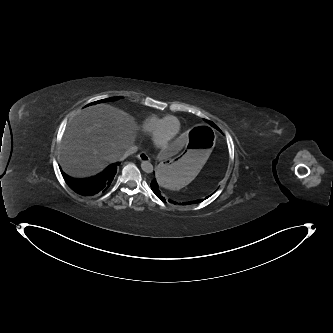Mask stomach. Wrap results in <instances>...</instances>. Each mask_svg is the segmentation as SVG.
Segmentation results:
<instances>
[{
	"label": "stomach",
	"instance_id": "0dacf381",
	"mask_svg": "<svg viewBox=\"0 0 333 333\" xmlns=\"http://www.w3.org/2000/svg\"><path fill=\"white\" fill-rule=\"evenodd\" d=\"M215 144L214 129L208 125H197L186 153L176 160L160 162L154 166V183L165 190H178L186 186L196 178Z\"/></svg>",
	"mask_w": 333,
	"mask_h": 333
}]
</instances>
